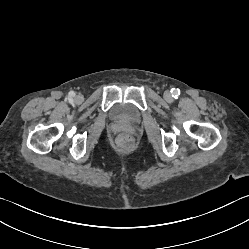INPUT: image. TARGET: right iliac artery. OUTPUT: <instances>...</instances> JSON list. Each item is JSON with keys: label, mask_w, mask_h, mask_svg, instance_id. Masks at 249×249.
<instances>
[{"label": "right iliac artery", "mask_w": 249, "mask_h": 249, "mask_svg": "<svg viewBox=\"0 0 249 249\" xmlns=\"http://www.w3.org/2000/svg\"><path fill=\"white\" fill-rule=\"evenodd\" d=\"M70 96H73V93H70Z\"/></svg>", "instance_id": "82829eb1"}]
</instances>
